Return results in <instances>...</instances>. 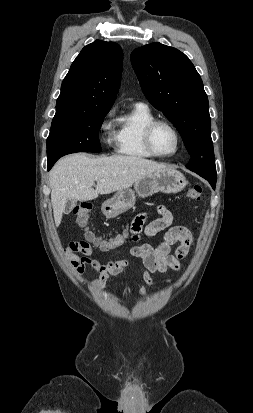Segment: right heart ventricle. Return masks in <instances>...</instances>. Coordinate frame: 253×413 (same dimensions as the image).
<instances>
[{"mask_svg":"<svg viewBox=\"0 0 253 413\" xmlns=\"http://www.w3.org/2000/svg\"><path fill=\"white\" fill-rule=\"evenodd\" d=\"M154 119L155 116L148 107L137 104L121 117L115 140L117 152L135 159L151 158L152 155L143 142V130Z\"/></svg>","mask_w":253,"mask_h":413,"instance_id":"right-heart-ventricle-1","label":"right heart ventricle"}]
</instances>
